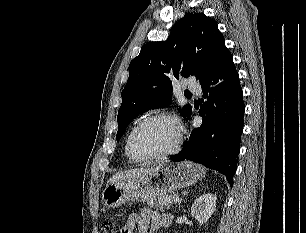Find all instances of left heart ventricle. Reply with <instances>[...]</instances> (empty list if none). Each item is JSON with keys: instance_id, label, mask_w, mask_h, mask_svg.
Returning <instances> with one entry per match:
<instances>
[{"instance_id": "obj_1", "label": "left heart ventricle", "mask_w": 306, "mask_h": 233, "mask_svg": "<svg viewBox=\"0 0 306 233\" xmlns=\"http://www.w3.org/2000/svg\"><path fill=\"white\" fill-rule=\"evenodd\" d=\"M177 139L176 124L159 119L145 124L133 139V148L140 156L163 153L170 150Z\"/></svg>"}]
</instances>
